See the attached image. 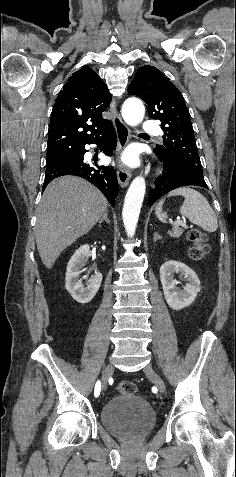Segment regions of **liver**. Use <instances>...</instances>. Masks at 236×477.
Returning <instances> with one entry per match:
<instances>
[{
  "label": "liver",
  "instance_id": "obj_1",
  "mask_svg": "<svg viewBox=\"0 0 236 477\" xmlns=\"http://www.w3.org/2000/svg\"><path fill=\"white\" fill-rule=\"evenodd\" d=\"M108 201L92 184L63 176L46 187L37 208L36 244L51 269L60 254L87 234L107 210Z\"/></svg>",
  "mask_w": 236,
  "mask_h": 477
}]
</instances>
